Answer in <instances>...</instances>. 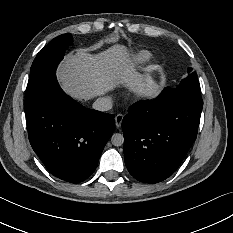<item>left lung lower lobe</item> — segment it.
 Listing matches in <instances>:
<instances>
[{
  "mask_svg": "<svg viewBox=\"0 0 233 233\" xmlns=\"http://www.w3.org/2000/svg\"><path fill=\"white\" fill-rule=\"evenodd\" d=\"M203 100L163 92L131 105L123 118L124 159L130 174L158 183L173 174L197 137Z\"/></svg>",
  "mask_w": 233,
  "mask_h": 233,
  "instance_id": "obj_1",
  "label": "left lung lower lobe"
}]
</instances>
